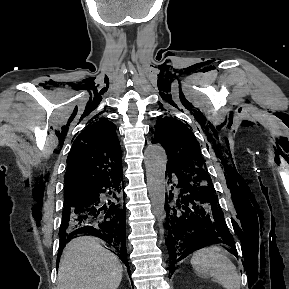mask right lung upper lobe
Masks as SVG:
<instances>
[{
	"mask_svg": "<svg viewBox=\"0 0 289 289\" xmlns=\"http://www.w3.org/2000/svg\"><path fill=\"white\" fill-rule=\"evenodd\" d=\"M116 126L99 119L74 140L67 158L65 196L84 193L106 179L121 175V148Z\"/></svg>",
	"mask_w": 289,
	"mask_h": 289,
	"instance_id": "obj_1",
	"label": "right lung upper lobe"
}]
</instances>
